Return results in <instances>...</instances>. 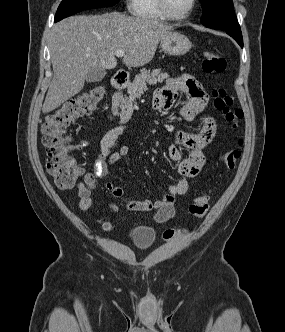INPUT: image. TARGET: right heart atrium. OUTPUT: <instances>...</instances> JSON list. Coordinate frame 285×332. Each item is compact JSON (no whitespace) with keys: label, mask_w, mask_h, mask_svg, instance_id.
Instances as JSON below:
<instances>
[{"label":"right heart atrium","mask_w":285,"mask_h":332,"mask_svg":"<svg viewBox=\"0 0 285 332\" xmlns=\"http://www.w3.org/2000/svg\"><path fill=\"white\" fill-rule=\"evenodd\" d=\"M127 6L131 7L132 0H126Z\"/></svg>","instance_id":"1"}]
</instances>
